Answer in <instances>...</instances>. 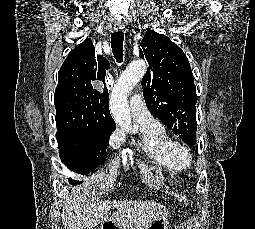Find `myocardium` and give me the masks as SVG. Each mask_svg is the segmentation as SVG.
Wrapping results in <instances>:
<instances>
[{
  "label": "myocardium",
  "mask_w": 255,
  "mask_h": 229,
  "mask_svg": "<svg viewBox=\"0 0 255 229\" xmlns=\"http://www.w3.org/2000/svg\"><path fill=\"white\" fill-rule=\"evenodd\" d=\"M168 153L182 164H189L190 154L189 151L180 143L171 141L167 147Z\"/></svg>",
  "instance_id": "1"
}]
</instances>
